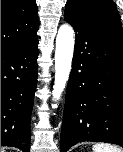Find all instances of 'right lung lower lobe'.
Listing matches in <instances>:
<instances>
[{
	"mask_svg": "<svg viewBox=\"0 0 123 152\" xmlns=\"http://www.w3.org/2000/svg\"><path fill=\"white\" fill-rule=\"evenodd\" d=\"M38 39L1 50V146L29 152Z\"/></svg>",
	"mask_w": 123,
	"mask_h": 152,
	"instance_id": "right-lung-lower-lobe-1",
	"label": "right lung lower lobe"
}]
</instances>
